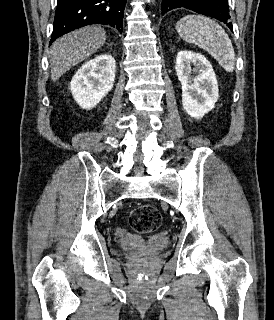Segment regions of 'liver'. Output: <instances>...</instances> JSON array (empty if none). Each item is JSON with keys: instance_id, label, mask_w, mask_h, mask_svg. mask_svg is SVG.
<instances>
[{"instance_id": "6515ba94", "label": "liver", "mask_w": 274, "mask_h": 320, "mask_svg": "<svg viewBox=\"0 0 274 320\" xmlns=\"http://www.w3.org/2000/svg\"><path fill=\"white\" fill-rule=\"evenodd\" d=\"M106 42V32L101 26H85L58 38L51 46V80L57 82L70 68L87 60Z\"/></svg>"}]
</instances>
